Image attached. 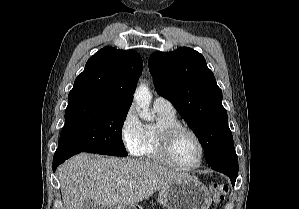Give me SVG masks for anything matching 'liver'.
Here are the masks:
<instances>
[{"label":"liver","instance_id":"obj_1","mask_svg":"<svg viewBox=\"0 0 299 209\" xmlns=\"http://www.w3.org/2000/svg\"><path fill=\"white\" fill-rule=\"evenodd\" d=\"M63 209H82L86 200L98 205H134L161 188L189 177V174L158 164L131 158L119 159L78 154L57 170ZM125 181V185H120Z\"/></svg>","mask_w":299,"mask_h":209}]
</instances>
